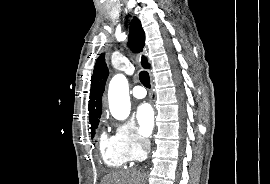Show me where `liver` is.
Returning a JSON list of instances; mask_svg holds the SVG:
<instances>
[{
	"label": "liver",
	"mask_w": 270,
	"mask_h": 184,
	"mask_svg": "<svg viewBox=\"0 0 270 184\" xmlns=\"http://www.w3.org/2000/svg\"><path fill=\"white\" fill-rule=\"evenodd\" d=\"M141 174L136 171H120L106 175L101 184H139Z\"/></svg>",
	"instance_id": "obj_1"
}]
</instances>
